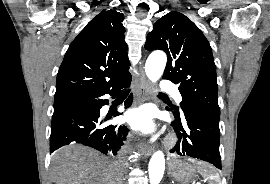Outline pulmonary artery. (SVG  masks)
Segmentation results:
<instances>
[{
	"label": "pulmonary artery",
	"instance_id": "1",
	"mask_svg": "<svg viewBox=\"0 0 270 184\" xmlns=\"http://www.w3.org/2000/svg\"><path fill=\"white\" fill-rule=\"evenodd\" d=\"M161 88L163 91L170 93V94H173L175 99L178 102L182 101V97H181L177 87L172 82L167 81V80L163 81L161 84Z\"/></svg>",
	"mask_w": 270,
	"mask_h": 184
}]
</instances>
